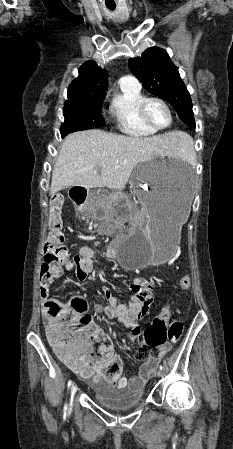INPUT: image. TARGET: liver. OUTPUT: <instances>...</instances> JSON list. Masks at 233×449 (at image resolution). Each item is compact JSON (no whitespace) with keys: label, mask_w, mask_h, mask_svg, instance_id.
<instances>
[{"label":"liver","mask_w":233,"mask_h":449,"mask_svg":"<svg viewBox=\"0 0 233 449\" xmlns=\"http://www.w3.org/2000/svg\"><path fill=\"white\" fill-rule=\"evenodd\" d=\"M184 139L181 132L155 133L152 137L115 135L96 129L72 133L59 148L50 193L71 186L122 190L138 164L174 155Z\"/></svg>","instance_id":"obj_1"}]
</instances>
